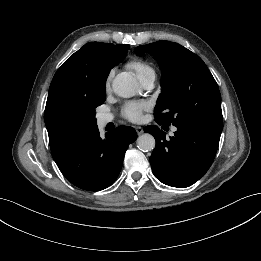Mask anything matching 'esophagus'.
I'll return each mask as SVG.
<instances>
[{
	"instance_id": "34e87169",
	"label": "esophagus",
	"mask_w": 261,
	"mask_h": 261,
	"mask_svg": "<svg viewBox=\"0 0 261 261\" xmlns=\"http://www.w3.org/2000/svg\"><path fill=\"white\" fill-rule=\"evenodd\" d=\"M135 130H136L138 135H141L144 132L143 128L140 127V126L135 127Z\"/></svg>"
}]
</instances>
